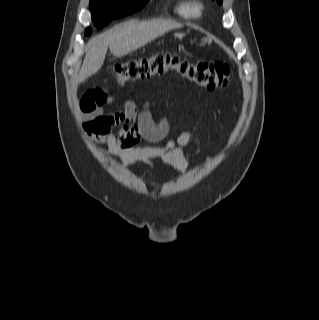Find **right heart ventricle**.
I'll return each mask as SVG.
<instances>
[{"mask_svg": "<svg viewBox=\"0 0 319 320\" xmlns=\"http://www.w3.org/2000/svg\"><path fill=\"white\" fill-rule=\"evenodd\" d=\"M203 5L196 0L182 2L177 9L179 15L185 18H197L201 15Z\"/></svg>", "mask_w": 319, "mask_h": 320, "instance_id": "e07e8e85", "label": "right heart ventricle"}]
</instances>
